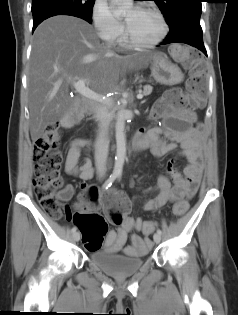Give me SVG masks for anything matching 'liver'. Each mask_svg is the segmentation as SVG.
<instances>
[{"label":"liver","mask_w":238,"mask_h":315,"mask_svg":"<svg viewBox=\"0 0 238 315\" xmlns=\"http://www.w3.org/2000/svg\"><path fill=\"white\" fill-rule=\"evenodd\" d=\"M162 53L120 56L101 44L93 27L68 15L42 22L34 32L28 73L30 135L36 142L45 129L60 122H74L90 102L69 95L73 82L85 80L94 91L117 89L127 68L145 67Z\"/></svg>","instance_id":"6515ba94"}]
</instances>
